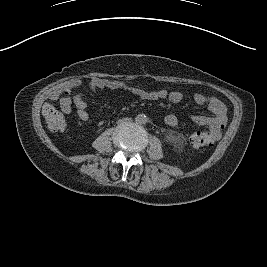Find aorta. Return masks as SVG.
<instances>
[{
  "mask_svg": "<svg viewBox=\"0 0 267 267\" xmlns=\"http://www.w3.org/2000/svg\"><path fill=\"white\" fill-rule=\"evenodd\" d=\"M136 122L138 124H145L147 122V117L144 114H139L136 116Z\"/></svg>",
  "mask_w": 267,
  "mask_h": 267,
  "instance_id": "aorta-1",
  "label": "aorta"
}]
</instances>
